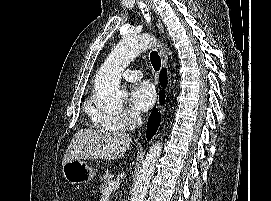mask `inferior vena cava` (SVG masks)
I'll use <instances>...</instances> for the list:
<instances>
[{
  "mask_svg": "<svg viewBox=\"0 0 271 201\" xmlns=\"http://www.w3.org/2000/svg\"><path fill=\"white\" fill-rule=\"evenodd\" d=\"M132 118L134 122L136 123L137 126L141 125L142 123V118L138 112H133L132 113Z\"/></svg>",
  "mask_w": 271,
  "mask_h": 201,
  "instance_id": "obj_1",
  "label": "inferior vena cava"
}]
</instances>
